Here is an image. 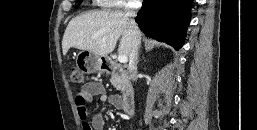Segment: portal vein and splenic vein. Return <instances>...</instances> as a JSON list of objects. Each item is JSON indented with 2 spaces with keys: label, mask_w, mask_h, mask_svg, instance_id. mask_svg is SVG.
Instances as JSON below:
<instances>
[{
  "label": "portal vein and splenic vein",
  "mask_w": 257,
  "mask_h": 130,
  "mask_svg": "<svg viewBox=\"0 0 257 130\" xmlns=\"http://www.w3.org/2000/svg\"><path fill=\"white\" fill-rule=\"evenodd\" d=\"M118 61H119L120 63H126V62L128 61V58H127V56H125V55H119V56H118Z\"/></svg>",
  "instance_id": "1"
}]
</instances>
